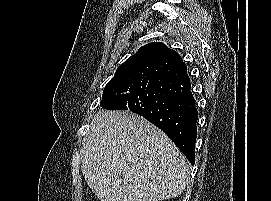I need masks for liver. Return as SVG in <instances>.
Segmentation results:
<instances>
[{"instance_id": "6515ba94", "label": "liver", "mask_w": 271, "mask_h": 201, "mask_svg": "<svg viewBox=\"0 0 271 201\" xmlns=\"http://www.w3.org/2000/svg\"><path fill=\"white\" fill-rule=\"evenodd\" d=\"M81 171L100 201H163L184 191L188 164L143 117L102 110L90 125Z\"/></svg>"}]
</instances>
